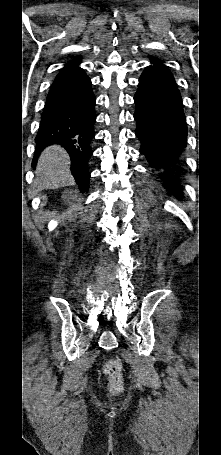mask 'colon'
Here are the masks:
<instances>
[{"instance_id":"5ec220e1","label":"colon","mask_w":221,"mask_h":455,"mask_svg":"<svg viewBox=\"0 0 221 455\" xmlns=\"http://www.w3.org/2000/svg\"><path fill=\"white\" fill-rule=\"evenodd\" d=\"M104 373L108 379L109 386L114 391L123 387L122 365L117 359H110L104 367Z\"/></svg>"}]
</instances>
